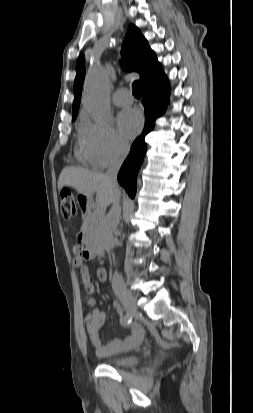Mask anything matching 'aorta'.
I'll use <instances>...</instances> for the list:
<instances>
[{"instance_id": "obj_1", "label": "aorta", "mask_w": 253, "mask_h": 413, "mask_svg": "<svg viewBox=\"0 0 253 413\" xmlns=\"http://www.w3.org/2000/svg\"><path fill=\"white\" fill-rule=\"evenodd\" d=\"M110 90L111 83L105 69L92 67L85 79L83 103L97 122L105 123L111 116Z\"/></svg>"}]
</instances>
